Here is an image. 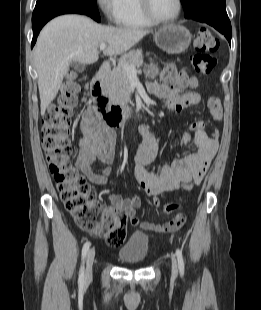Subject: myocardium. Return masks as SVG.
Segmentation results:
<instances>
[{
	"instance_id": "myocardium-1",
	"label": "myocardium",
	"mask_w": 261,
	"mask_h": 310,
	"mask_svg": "<svg viewBox=\"0 0 261 310\" xmlns=\"http://www.w3.org/2000/svg\"><path fill=\"white\" fill-rule=\"evenodd\" d=\"M139 1H140L141 10H142L144 16L154 24H168V23L174 22L180 16L181 11H182V7H183L182 0H177L176 13L170 18L161 19V18L156 17L153 14V12L151 10L150 0H139Z\"/></svg>"
}]
</instances>
